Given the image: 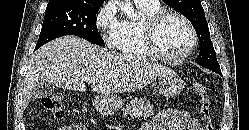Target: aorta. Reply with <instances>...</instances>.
I'll use <instances>...</instances> for the list:
<instances>
[{
    "instance_id": "obj_1",
    "label": "aorta",
    "mask_w": 249,
    "mask_h": 130,
    "mask_svg": "<svg viewBox=\"0 0 249 130\" xmlns=\"http://www.w3.org/2000/svg\"><path fill=\"white\" fill-rule=\"evenodd\" d=\"M120 9L122 10V12L127 14V16H129V17L136 16L133 7L129 3H127V4L120 3Z\"/></svg>"
}]
</instances>
